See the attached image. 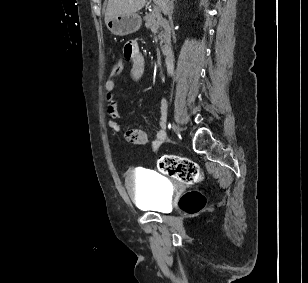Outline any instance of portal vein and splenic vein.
Returning a JSON list of instances; mask_svg holds the SVG:
<instances>
[{"label": "portal vein and splenic vein", "instance_id": "portal-vein-and-splenic-vein-1", "mask_svg": "<svg viewBox=\"0 0 308 283\" xmlns=\"http://www.w3.org/2000/svg\"><path fill=\"white\" fill-rule=\"evenodd\" d=\"M161 7V4L160 3H156V6L154 8L155 11H158Z\"/></svg>", "mask_w": 308, "mask_h": 283}]
</instances>
